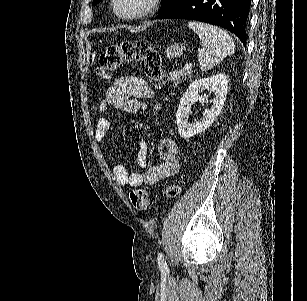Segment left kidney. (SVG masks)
Returning a JSON list of instances; mask_svg holds the SVG:
<instances>
[{
    "label": "left kidney",
    "mask_w": 307,
    "mask_h": 301,
    "mask_svg": "<svg viewBox=\"0 0 307 301\" xmlns=\"http://www.w3.org/2000/svg\"><path fill=\"white\" fill-rule=\"evenodd\" d=\"M205 88L214 94V98L210 100L212 106H210V108H205L202 118L195 120V122H188L191 104L208 100L209 94H201V96L199 94V92H202ZM227 90L228 76H226L224 72L213 74V76H208V78H197V80H193V82L189 84L187 90H185L183 96H181L176 112L180 136H183V138H190V136H194V134H198V132H203L208 126H211L213 120L217 118L223 108Z\"/></svg>",
    "instance_id": "obj_1"
}]
</instances>
